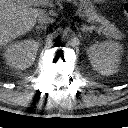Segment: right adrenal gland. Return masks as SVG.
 Instances as JSON below:
<instances>
[{
	"label": "right adrenal gland",
	"mask_w": 128,
	"mask_h": 128,
	"mask_svg": "<svg viewBox=\"0 0 128 128\" xmlns=\"http://www.w3.org/2000/svg\"><path fill=\"white\" fill-rule=\"evenodd\" d=\"M35 28H36V29H40V28L44 29V28H45V26L37 25Z\"/></svg>",
	"instance_id": "right-adrenal-gland-1"
}]
</instances>
